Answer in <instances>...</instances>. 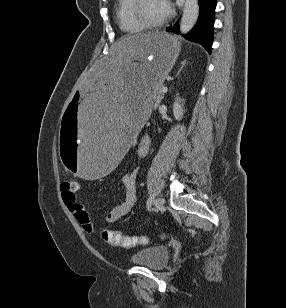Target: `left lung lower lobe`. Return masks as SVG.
<instances>
[{
  "instance_id": "1",
  "label": "left lung lower lobe",
  "mask_w": 286,
  "mask_h": 308,
  "mask_svg": "<svg viewBox=\"0 0 286 308\" xmlns=\"http://www.w3.org/2000/svg\"><path fill=\"white\" fill-rule=\"evenodd\" d=\"M200 11L199 18L185 37L193 42L201 44L209 53H211L213 42V24L216 8V0H198ZM167 31H173L177 33L179 31L178 22L173 27H168Z\"/></svg>"
}]
</instances>
